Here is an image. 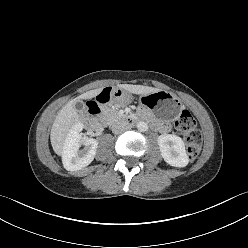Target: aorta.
<instances>
[{
  "label": "aorta",
  "instance_id": "aorta-1",
  "mask_svg": "<svg viewBox=\"0 0 248 248\" xmlns=\"http://www.w3.org/2000/svg\"><path fill=\"white\" fill-rule=\"evenodd\" d=\"M137 129H138L139 131H141V132H145V131L148 130V124L145 123V122H143V121H141V122H139V123L137 124Z\"/></svg>",
  "mask_w": 248,
  "mask_h": 248
}]
</instances>
